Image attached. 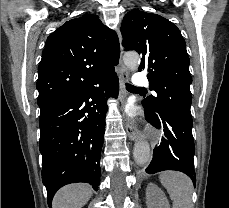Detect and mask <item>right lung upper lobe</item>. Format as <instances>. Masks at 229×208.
I'll use <instances>...</instances> for the list:
<instances>
[{
    "label": "right lung upper lobe",
    "instance_id": "cb5924a9",
    "mask_svg": "<svg viewBox=\"0 0 229 208\" xmlns=\"http://www.w3.org/2000/svg\"><path fill=\"white\" fill-rule=\"evenodd\" d=\"M117 34L97 15L71 19L49 35L38 67V104L64 101L115 73Z\"/></svg>",
    "mask_w": 229,
    "mask_h": 208
}]
</instances>
